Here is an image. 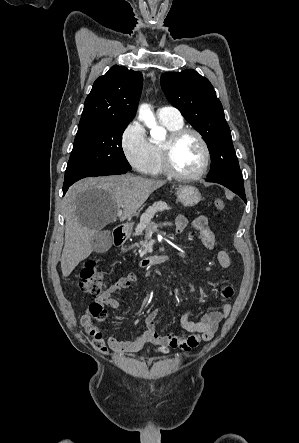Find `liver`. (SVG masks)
Masks as SVG:
<instances>
[{
	"mask_svg": "<svg viewBox=\"0 0 299 443\" xmlns=\"http://www.w3.org/2000/svg\"><path fill=\"white\" fill-rule=\"evenodd\" d=\"M165 183L126 174L88 178L74 185L66 195L63 276H69L92 253L91 242L96 232L117 216L123 221L135 214L152 192ZM119 211L121 215H117Z\"/></svg>",
	"mask_w": 299,
	"mask_h": 443,
	"instance_id": "liver-1",
	"label": "liver"
}]
</instances>
